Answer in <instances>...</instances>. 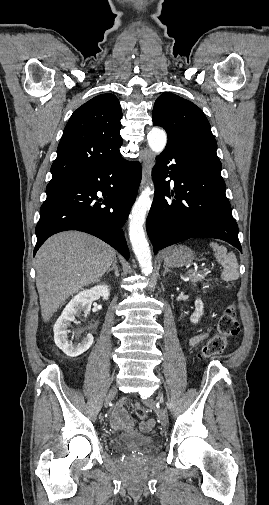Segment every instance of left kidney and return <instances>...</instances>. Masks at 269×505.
<instances>
[{
  "label": "left kidney",
  "mask_w": 269,
  "mask_h": 505,
  "mask_svg": "<svg viewBox=\"0 0 269 505\" xmlns=\"http://www.w3.org/2000/svg\"><path fill=\"white\" fill-rule=\"evenodd\" d=\"M195 308H196V311L194 314L191 315L190 317V321L191 323L193 324H197L200 320V318L202 317L204 311V304L202 302V300L200 298H197L196 301H195Z\"/></svg>",
  "instance_id": "left-kidney-1"
}]
</instances>
